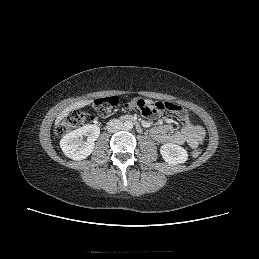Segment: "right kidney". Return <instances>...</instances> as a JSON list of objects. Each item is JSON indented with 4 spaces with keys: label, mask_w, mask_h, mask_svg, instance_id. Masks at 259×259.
Instances as JSON below:
<instances>
[{
    "label": "right kidney",
    "mask_w": 259,
    "mask_h": 259,
    "mask_svg": "<svg viewBox=\"0 0 259 259\" xmlns=\"http://www.w3.org/2000/svg\"><path fill=\"white\" fill-rule=\"evenodd\" d=\"M99 135L100 128L97 125H85L66 134L60 141V147L67 157L83 160L93 152ZM83 136L87 137L85 142L81 141Z\"/></svg>",
    "instance_id": "right-kidney-1"
}]
</instances>
